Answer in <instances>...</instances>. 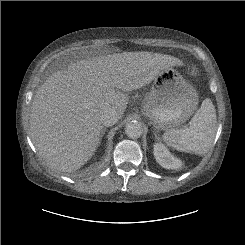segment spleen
Listing matches in <instances>:
<instances>
[{
	"mask_svg": "<svg viewBox=\"0 0 245 245\" xmlns=\"http://www.w3.org/2000/svg\"><path fill=\"white\" fill-rule=\"evenodd\" d=\"M216 130V110L212 101L206 98L189 122V127L166 131L163 141L176 150L203 155L212 146Z\"/></svg>",
	"mask_w": 245,
	"mask_h": 245,
	"instance_id": "spleen-1",
	"label": "spleen"
}]
</instances>
